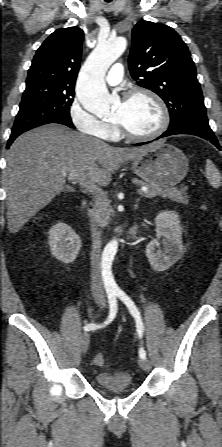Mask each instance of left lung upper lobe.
Instances as JSON below:
<instances>
[{"mask_svg": "<svg viewBox=\"0 0 222 447\" xmlns=\"http://www.w3.org/2000/svg\"><path fill=\"white\" fill-rule=\"evenodd\" d=\"M129 69L137 84L158 94L170 112V127L189 123L211 130L191 54L169 26L141 21L132 30Z\"/></svg>", "mask_w": 222, "mask_h": 447, "instance_id": "left-lung-upper-lobe-1", "label": "left lung upper lobe"}]
</instances>
